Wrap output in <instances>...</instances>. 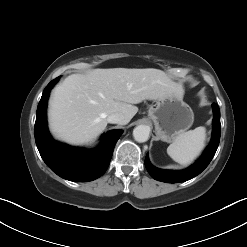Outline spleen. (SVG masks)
<instances>
[{
	"label": "spleen",
	"instance_id": "obj_1",
	"mask_svg": "<svg viewBox=\"0 0 247 247\" xmlns=\"http://www.w3.org/2000/svg\"><path fill=\"white\" fill-rule=\"evenodd\" d=\"M206 129L203 126L179 134L168 146V155L177 163L190 164L203 150Z\"/></svg>",
	"mask_w": 247,
	"mask_h": 247
}]
</instances>
